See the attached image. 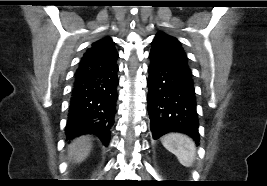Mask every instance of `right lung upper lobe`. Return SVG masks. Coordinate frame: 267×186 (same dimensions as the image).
I'll return each mask as SVG.
<instances>
[{
  "label": "right lung upper lobe",
  "instance_id": "cb5924a9",
  "mask_svg": "<svg viewBox=\"0 0 267 186\" xmlns=\"http://www.w3.org/2000/svg\"><path fill=\"white\" fill-rule=\"evenodd\" d=\"M118 53L114 48V42L110 37L102 38L94 42L82 57L76 73H83L91 69L114 63Z\"/></svg>",
  "mask_w": 267,
  "mask_h": 186
}]
</instances>
